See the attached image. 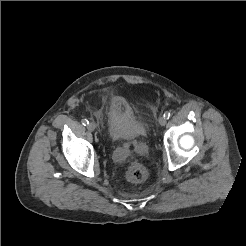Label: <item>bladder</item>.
Wrapping results in <instances>:
<instances>
[{"mask_svg":"<svg viewBox=\"0 0 246 246\" xmlns=\"http://www.w3.org/2000/svg\"><path fill=\"white\" fill-rule=\"evenodd\" d=\"M107 134L113 141H132L146 133L141 119L118 97H113L106 109Z\"/></svg>","mask_w":246,"mask_h":246,"instance_id":"bladder-1","label":"bladder"}]
</instances>
